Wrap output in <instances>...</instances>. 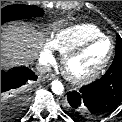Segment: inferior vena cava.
I'll list each match as a JSON object with an SVG mask.
<instances>
[{"instance_id": "1", "label": "inferior vena cava", "mask_w": 122, "mask_h": 122, "mask_svg": "<svg viewBox=\"0 0 122 122\" xmlns=\"http://www.w3.org/2000/svg\"><path fill=\"white\" fill-rule=\"evenodd\" d=\"M36 70L40 73H47L51 71V66L49 64L37 63Z\"/></svg>"}]
</instances>
